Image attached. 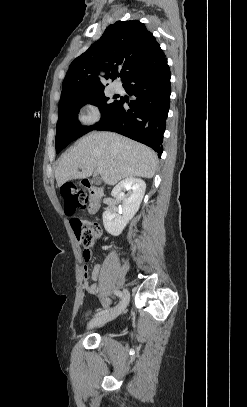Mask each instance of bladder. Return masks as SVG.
Segmentation results:
<instances>
[{
    "mask_svg": "<svg viewBox=\"0 0 247 407\" xmlns=\"http://www.w3.org/2000/svg\"><path fill=\"white\" fill-rule=\"evenodd\" d=\"M90 317H91V312H88L87 315H86V318H87V319H90ZM91 321H92V320H90L89 323H90ZM89 323H88V324H89Z\"/></svg>",
    "mask_w": 247,
    "mask_h": 407,
    "instance_id": "1",
    "label": "bladder"
}]
</instances>
